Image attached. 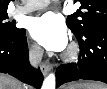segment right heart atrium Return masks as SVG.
Returning <instances> with one entry per match:
<instances>
[{"mask_svg":"<svg viewBox=\"0 0 107 89\" xmlns=\"http://www.w3.org/2000/svg\"><path fill=\"white\" fill-rule=\"evenodd\" d=\"M29 53L33 59H38L40 56V48L36 44H31L29 46Z\"/></svg>","mask_w":107,"mask_h":89,"instance_id":"right-heart-atrium-1","label":"right heart atrium"}]
</instances>
